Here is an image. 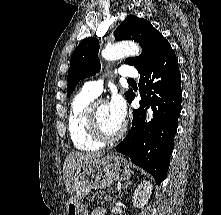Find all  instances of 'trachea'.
<instances>
[{
    "label": "trachea",
    "instance_id": "obj_1",
    "mask_svg": "<svg viewBox=\"0 0 221 215\" xmlns=\"http://www.w3.org/2000/svg\"><path fill=\"white\" fill-rule=\"evenodd\" d=\"M128 81H129V82H134V80H133V79H129Z\"/></svg>",
    "mask_w": 221,
    "mask_h": 215
}]
</instances>
